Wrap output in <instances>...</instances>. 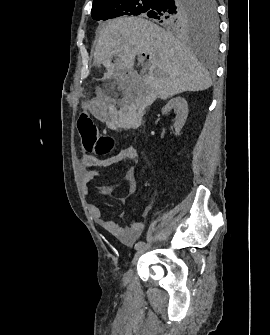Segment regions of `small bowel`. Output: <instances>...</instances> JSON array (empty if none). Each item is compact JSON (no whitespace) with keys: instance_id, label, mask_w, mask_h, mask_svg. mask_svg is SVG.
<instances>
[{"instance_id":"1","label":"small bowel","mask_w":270,"mask_h":335,"mask_svg":"<svg viewBox=\"0 0 270 335\" xmlns=\"http://www.w3.org/2000/svg\"><path fill=\"white\" fill-rule=\"evenodd\" d=\"M137 157V150L133 146H127L104 160H99L93 155L83 154L79 163L81 182L87 188L88 184L98 176L97 167H107L123 161H134ZM125 181L127 183V190L120 196V201L123 204L130 201L136 190V173L133 167L127 169ZM89 212L101 228L126 245L134 243L141 236L145 227L144 223L140 221H133L129 226L121 227L115 222L104 218L100 208L94 204L89 205ZM125 216L126 213L122 212L121 217L124 218Z\"/></svg>"}]
</instances>
